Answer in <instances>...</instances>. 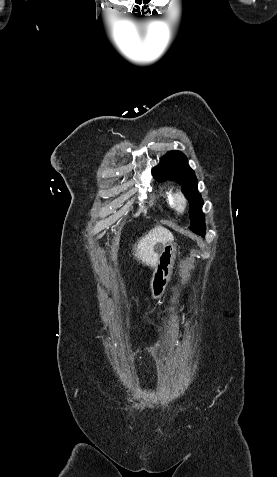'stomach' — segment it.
<instances>
[{
    "label": "stomach",
    "mask_w": 277,
    "mask_h": 477,
    "mask_svg": "<svg viewBox=\"0 0 277 477\" xmlns=\"http://www.w3.org/2000/svg\"><path fill=\"white\" fill-rule=\"evenodd\" d=\"M176 244L171 241L162 246L159 259L150 281L152 299H160L166 292L176 258Z\"/></svg>",
    "instance_id": "stomach-1"
}]
</instances>
